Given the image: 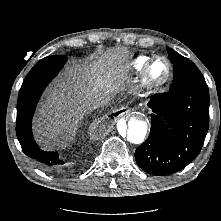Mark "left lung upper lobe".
<instances>
[{"label":"left lung upper lobe","mask_w":221,"mask_h":221,"mask_svg":"<svg viewBox=\"0 0 221 221\" xmlns=\"http://www.w3.org/2000/svg\"><path fill=\"white\" fill-rule=\"evenodd\" d=\"M167 51L173 63V83L169 90L176 91L188 85L206 83L203 75L191 60L169 47Z\"/></svg>","instance_id":"5c2ea615"}]
</instances>
